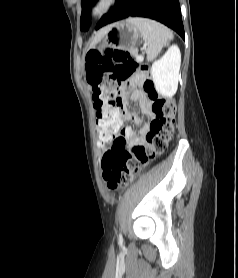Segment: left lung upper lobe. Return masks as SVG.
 Returning a JSON list of instances; mask_svg holds the SVG:
<instances>
[{
  "mask_svg": "<svg viewBox=\"0 0 238 278\" xmlns=\"http://www.w3.org/2000/svg\"><path fill=\"white\" fill-rule=\"evenodd\" d=\"M93 0H82L81 5H82V14L80 18V28L81 30H88L89 28V22H88V13L91 8Z\"/></svg>",
  "mask_w": 238,
  "mask_h": 278,
  "instance_id": "1",
  "label": "left lung upper lobe"
}]
</instances>
